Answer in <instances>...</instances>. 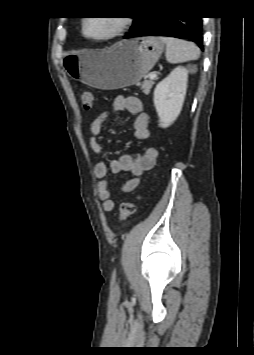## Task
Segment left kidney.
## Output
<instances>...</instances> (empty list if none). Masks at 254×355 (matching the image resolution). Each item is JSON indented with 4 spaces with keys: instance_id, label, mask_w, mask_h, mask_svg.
<instances>
[{
    "instance_id": "left-kidney-1",
    "label": "left kidney",
    "mask_w": 254,
    "mask_h": 355,
    "mask_svg": "<svg viewBox=\"0 0 254 355\" xmlns=\"http://www.w3.org/2000/svg\"><path fill=\"white\" fill-rule=\"evenodd\" d=\"M188 71L178 66L154 90V105L159 126L167 128L177 119L186 95Z\"/></svg>"
}]
</instances>
